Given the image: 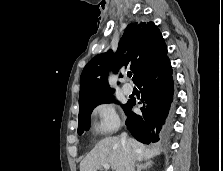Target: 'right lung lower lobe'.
Listing matches in <instances>:
<instances>
[{
  "mask_svg": "<svg viewBox=\"0 0 223 171\" xmlns=\"http://www.w3.org/2000/svg\"><path fill=\"white\" fill-rule=\"evenodd\" d=\"M141 91L142 113L131 112L135 100H130L125 113L127 129L142 143L159 141V135L170 104L173 101L174 82L169 59L143 76L137 83Z\"/></svg>",
  "mask_w": 223,
  "mask_h": 171,
  "instance_id": "1",
  "label": "right lung lower lobe"
}]
</instances>
